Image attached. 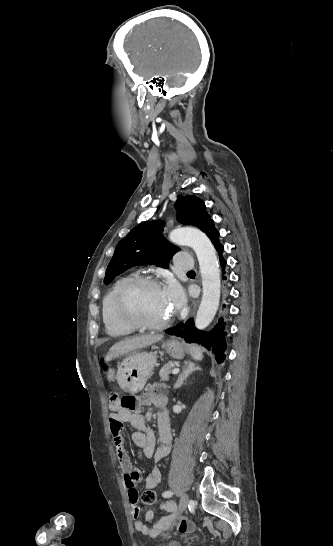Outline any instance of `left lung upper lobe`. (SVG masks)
<instances>
[{"label": "left lung upper lobe", "instance_id": "left-lung-upper-lobe-1", "mask_svg": "<svg viewBox=\"0 0 333 546\" xmlns=\"http://www.w3.org/2000/svg\"><path fill=\"white\" fill-rule=\"evenodd\" d=\"M178 222L196 226L208 235L213 221L206 211L203 200L196 196H181L175 203ZM164 222L146 221L134 227L123 238L108 264L104 283L109 284L116 276L137 265L168 268L179 248L169 243L162 234Z\"/></svg>", "mask_w": 333, "mask_h": 546}]
</instances>
